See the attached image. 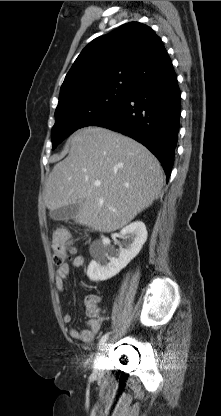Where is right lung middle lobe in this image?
Segmentation results:
<instances>
[{
	"label": "right lung middle lobe",
	"mask_w": 221,
	"mask_h": 416,
	"mask_svg": "<svg viewBox=\"0 0 221 416\" xmlns=\"http://www.w3.org/2000/svg\"><path fill=\"white\" fill-rule=\"evenodd\" d=\"M130 92V89L112 88L58 105L51 135L53 149L77 129L109 118Z\"/></svg>",
	"instance_id": "right-lung-middle-lobe-1"
}]
</instances>
